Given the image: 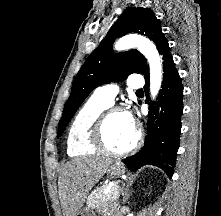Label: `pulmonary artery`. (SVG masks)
Instances as JSON below:
<instances>
[{
	"mask_svg": "<svg viewBox=\"0 0 221 216\" xmlns=\"http://www.w3.org/2000/svg\"><path fill=\"white\" fill-rule=\"evenodd\" d=\"M127 85L131 89L140 90L144 85L142 77L135 76L127 81ZM119 92V88L116 84H107L97 88L92 98L98 102H101L107 106H111L114 103V99Z\"/></svg>",
	"mask_w": 221,
	"mask_h": 216,
	"instance_id": "e3ab8cb5",
	"label": "pulmonary artery"
}]
</instances>
